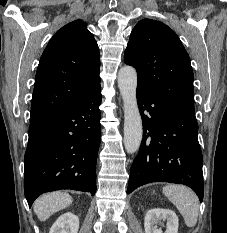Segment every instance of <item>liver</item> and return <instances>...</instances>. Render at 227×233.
Listing matches in <instances>:
<instances>
[{
  "instance_id": "obj_1",
  "label": "liver",
  "mask_w": 227,
  "mask_h": 233,
  "mask_svg": "<svg viewBox=\"0 0 227 233\" xmlns=\"http://www.w3.org/2000/svg\"><path fill=\"white\" fill-rule=\"evenodd\" d=\"M72 197L65 192H52L38 198L33 206L34 212L40 221L47 220L55 212L68 207Z\"/></svg>"
}]
</instances>
